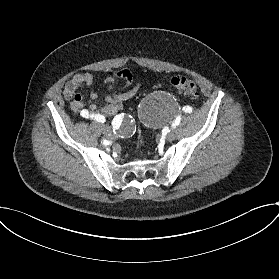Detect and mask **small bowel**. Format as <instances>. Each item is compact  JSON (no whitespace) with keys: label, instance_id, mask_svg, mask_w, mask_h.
Instances as JSON below:
<instances>
[{"label":"small bowel","instance_id":"c3829d8e","mask_svg":"<svg viewBox=\"0 0 279 279\" xmlns=\"http://www.w3.org/2000/svg\"><path fill=\"white\" fill-rule=\"evenodd\" d=\"M119 79L123 80V85L120 90L114 91V86ZM132 80L133 75L129 68L113 71L103 79V82L108 86V90L110 91V93L104 97V103H92L86 106L83 97L78 90L80 88L90 89L93 86L94 77L90 73H77L73 75L71 80L66 84L64 97L71 102L73 112L82 118L89 119L96 113L111 115L121 110L126 101L136 96L139 85H136L129 90H124L131 84ZM89 97L92 100H96L98 94L95 90L91 89Z\"/></svg>","mask_w":279,"mask_h":279}]
</instances>
